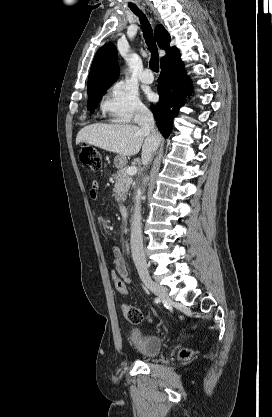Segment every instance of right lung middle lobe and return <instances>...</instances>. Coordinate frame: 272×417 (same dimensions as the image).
<instances>
[{
	"mask_svg": "<svg viewBox=\"0 0 272 417\" xmlns=\"http://www.w3.org/2000/svg\"><path fill=\"white\" fill-rule=\"evenodd\" d=\"M107 89L108 88L99 89V90H96V91H93V92L88 93V104H87V108L89 110H91V113L94 112L95 108L97 107V105H98V103H99V101L101 99V96L103 94H105V92H106Z\"/></svg>",
	"mask_w": 272,
	"mask_h": 417,
	"instance_id": "dd1d6c3e",
	"label": "right lung middle lobe"
}]
</instances>
